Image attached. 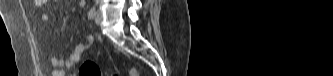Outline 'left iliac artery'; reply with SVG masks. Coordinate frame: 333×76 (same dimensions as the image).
Masks as SVG:
<instances>
[{"label":"left iliac artery","instance_id":"left-iliac-artery-1","mask_svg":"<svg viewBox=\"0 0 333 76\" xmlns=\"http://www.w3.org/2000/svg\"><path fill=\"white\" fill-rule=\"evenodd\" d=\"M95 10H96V7H95V6H93V7L89 10V12H88V18H89V19L94 18V16H95Z\"/></svg>","mask_w":333,"mask_h":76}]
</instances>
